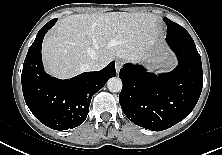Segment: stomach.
<instances>
[{
  "label": "stomach",
  "mask_w": 222,
  "mask_h": 155,
  "mask_svg": "<svg viewBox=\"0 0 222 155\" xmlns=\"http://www.w3.org/2000/svg\"><path fill=\"white\" fill-rule=\"evenodd\" d=\"M158 66L168 65L171 62V58L168 56L157 57L155 60Z\"/></svg>",
  "instance_id": "stomach-1"
}]
</instances>
